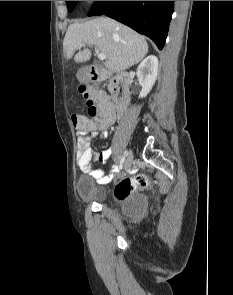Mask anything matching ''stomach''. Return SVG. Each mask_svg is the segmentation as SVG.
<instances>
[{"label":"stomach","instance_id":"0dacf381","mask_svg":"<svg viewBox=\"0 0 233 295\" xmlns=\"http://www.w3.org/2000/svg\"><path fill=\"white\" fill-rule=\"evenodd\" d=\"M77 78L80 82H88L89 80V76L84 69L78 71Z\"/></svg>","mask_w":233,"mask_h":295}]
</instances>
